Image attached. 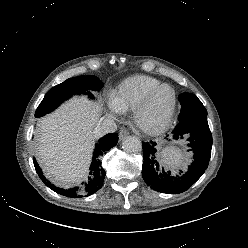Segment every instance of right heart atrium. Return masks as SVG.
I'll list each match as a JSON object with an SVG mask.
<instances>
[{
	"label": "right heart atrium",
	"instance_id": "obj_1",
	"mask_svg": "<svg viewBox=\"0 0 248 248\" xmlns=\"http://www.w3.org/2000/svg\"><path fill=\"white\" fill-rule=\"evenodd\" d=\"M108 109H109V113L114 118H119L122 115V113H123L120 110V108L117 106V104L115 103L113 97L110 98L109 101H108Z\"/></svg>",
	"mask_w": 248,
	"mask_h": 248
}]
</instances>
